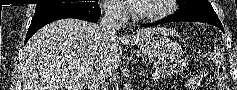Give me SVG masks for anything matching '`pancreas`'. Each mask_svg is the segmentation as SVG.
Listing matches in <instances>:
<instances>
[{
	"instance_id": "cf45deb5",
	"label": "pancreas",
	"mask_w": 237,
	"mask_h": 90,
	"mask_svg": "<svg viewBox=\"0 0 237 90\" xmlns=\"http://www.w3.org/2000/svg\"><path fill=\"white\" fill-rule=\"evenodd\" d=\"M183 71L184 64L182 62H177V64H163V67H156V72H162V74H179V72Z\"/></svg>"
}]
</instances>
